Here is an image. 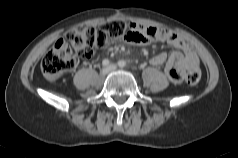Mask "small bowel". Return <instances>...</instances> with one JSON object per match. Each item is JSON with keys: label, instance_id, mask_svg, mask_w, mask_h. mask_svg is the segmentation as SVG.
<instances>
[{"label": "small bowel", "instance_id": "1", "mask_svg": "<svg viewBox=\"0 0 238 158\" xmlns=\"http://www.w3.org/2000/svg\"><path fill=\"white\" fill-rule=\"evenodd\" d=\"M131 27L132 33L126 41L132 45L144 46L152 42H167L177 49L169 56L166 53H160L150 59V63L154 66L165 64V72L172 82H180L186 71L199 67V59L196 53L176 33L158 27L143 26L138 23H132Z\"/></svg>", "mask_w": 238, "mask_h": 158}]
</instances>
